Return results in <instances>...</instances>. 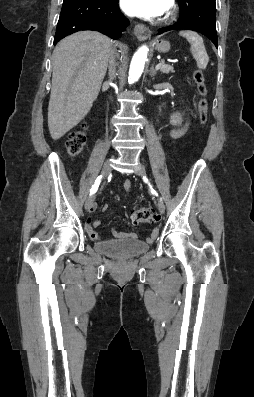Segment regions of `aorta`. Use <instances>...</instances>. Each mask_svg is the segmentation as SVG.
Segmentation results:
<instances>
[{"mask_svg": "<svg viewBox=\"0 0 254 397\" xmlns=\"http://www.w3.org/2000/svg\"><path fill=\"white\" fill-rule=\"evenodd\" d=\"M147 53L148 48L143 46L134 54L129 69V83L137 81L141 76L145 62L147 60Z\"/></svg>", "mask_w": 254, "mask_h": 397, "instance_id": "obj_1", "label": "aorta"}]
</instances>
